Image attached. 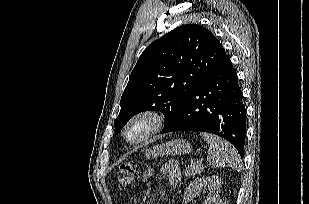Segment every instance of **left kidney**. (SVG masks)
Here are the masks:
<instances>
[{
  "label": "left kidney",
  "mask_w": 309,
  "mask_h": 204,
  "mask_svg": "<svg viewBox=\"0 0 309 204\" xmlns=\"http://www.w3.org/2000/svg\"><path fill=\"white\" fill-rule=\"evenodd\" d=\"M222 181L218 176L197 177L190 182L184 192L183 202L187 204L194 199L201 189L208 188L209 193L203 204H219V193Z\"/></svg>",
  "instance_id": "left-kidney-1"
}]
</instances>
